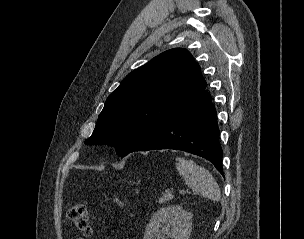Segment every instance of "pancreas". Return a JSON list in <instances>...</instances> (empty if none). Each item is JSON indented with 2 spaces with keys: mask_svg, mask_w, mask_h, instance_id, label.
Listing matches in <instances>:
<instances>
[{
  "mask_svg": "<svg viewBox=\"0 0 304 239\" xmlns=\"http://www.w3.org/2000/svg\"><path fill=\"white\" fill-rule=\"evenodd\" d=\"M169 200H171V197L168 196V195H165V196H163L162 198H160L159 204L166 203V202H168Z\"/></svg>",
  "mask_w": 304,
  "mask_h": 239,
  "instance_id": "cf45deb5",
  "label": "pancreas"
}]
</instances>
